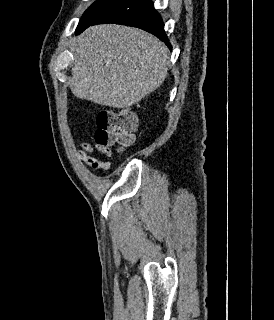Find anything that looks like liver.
I'll list each match as a JSON object with an SVG mask.
<instances>
[{
    "instance_id": "1",
    "label": "liver",
    "mask_w": 274,
    "mask_h": 320,
    "mask_svg": "<svg viewBox=\"0 0 274 320\" xmlns=\"http://www.w3.org/2000/svg\"><path fill=\"white\" fill-rule=\"evenodd\" d=\"M72 52L71 92L101 106L130 108L167 76V46L138 28L91 26L78 36Z\"/></svg>"
}]
</instances>
